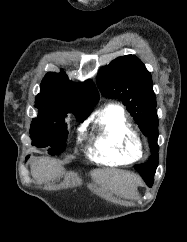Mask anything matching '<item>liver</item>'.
<instances>
[{
  "instance_id": "obj_1",
  "label": "liver",
  "mask_w": 187,
  "mask_h": 242,
  "mask_svg": "<svg viewBox=\"0 0 187 242\" xmlns=\"http://www.w3.org/2000/svg\"><path fill=\"white\" fill-rule=\"evenodd\" d=\"M61 174V166L50 158H34L31 163V175L38 183L54 180ZM91 174L106 189L124 197H128L133 193L138 182V177L127 171L98 169L92 171Z\"/></svg>"
}]
</instances>
